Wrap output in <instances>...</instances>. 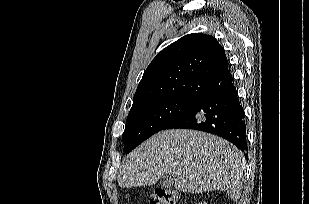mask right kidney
<instances>
[{"mask_svg":"<svg viewBox=\"0 0 309 204\" xmlns=\"http://www.w3.org/2000/svg\"><path fill=\"white\" fill-rule=\"evenodd\" d=\"M198 204H207V203L206 202H203V203L201 202V203H198Z\"/></svg>","mask_w":309,"mask_h":204,"instance_id":"1","label":"right kidney"}]
</instances>
